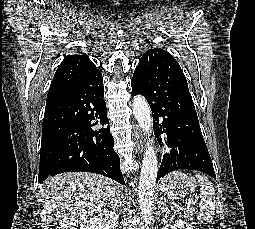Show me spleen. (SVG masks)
<instances>
[{"label":"spleen","mask_w":255,"mask_h":229,"mask_svg":"<svg viewBox=\"0 0 255 229\" xmlns=\"http://www.w3.org/2000/svg\"><path fill=\"white\" fill-rule=\"evenodd\" d=\"M200 185V203L197 218L200 221L211 222L215 214V189L205 175H196Z\"/></svg>","instance_id":"obj_1"}]
</instances>
